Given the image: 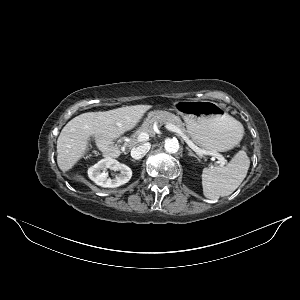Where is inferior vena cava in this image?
<instances>
[{
    "instance_id": "602c4592",
    "label": "inferior vena cava",
    "mask_w": 300,
    "mask_h": 300,
    "mask_svg": "<svg viewBox=\"0 0 300 300\" xmlns=\"http://www.w3.org/2000/svg\"><path fill=\"white\" fill-rule=\"evenodd\" d=\"M150 147H151V145L149 143H145V144H142V145L132 148L131 157L136 160L143 158L150 150Z\"/></svg>"
}]
</instances>
